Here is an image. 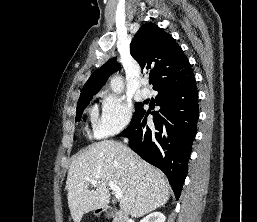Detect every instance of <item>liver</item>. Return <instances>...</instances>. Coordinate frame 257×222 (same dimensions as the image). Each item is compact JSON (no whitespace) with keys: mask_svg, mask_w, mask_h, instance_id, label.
Instances as JSON below:
<instances>
[{"mask_svg":"<svg viewBox=\"0 0 257 222\" xmlns=\"http://www.w3.org/2000/svg\"><path fill=\"white\" fill-rule=\"evenodd\" d=\"M93 179L99 183L89 190ZM108 181H113L123 193L120 208L135 218L169 200L170 186L160 170L121 143L104 140L91 145L69 167L66 190L74 222H80L85 213L107 207L110 202Z\"/></svg>","mask_w":257,"mask_h":222,"instance_id":"obj_1","label":"liver"}]
</instances>
